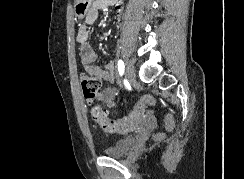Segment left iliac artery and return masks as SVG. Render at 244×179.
Instances as JSON below:
<instances>
[{
	"instance_id": "left-iliac-artery-1",
	"label": "left iliac artery",
	"mask_w": 244,
	"mask_h": 179,
	"mask_svg": "<svg viewBox=\"0 0 244 179\" xmlns=\"http://www.w3.org/2000/svg\"><path fill=\"white\" fill-rule=\"evenodd\" d=\"M124 62L122 60H119L118 61V71H119V74L122 75L124 73Z\"/></svg>"
}]
</instances>
